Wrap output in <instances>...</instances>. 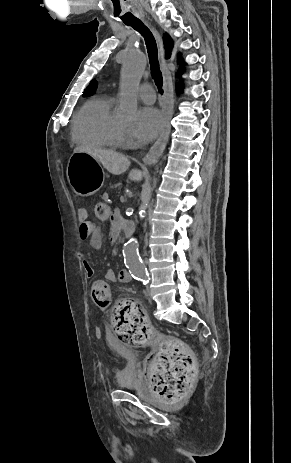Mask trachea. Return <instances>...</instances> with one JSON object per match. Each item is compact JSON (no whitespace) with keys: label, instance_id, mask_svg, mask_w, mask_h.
<instances>
[{"label":"trachea","instance_id":"1","mask_svg":"<svg viewBox=\"0 0 291 463\" xmlns=\"http://www.w3.org/2000/svg\"><path fill=\"white\" fill-rule=\"evenodd\" d=\"M126 25L131 26L144 37L149 56L152 77L155 81V84L157 85L159 92L163 93V77L159 68L157 44L153 34L141 21L128 22Z\"/></svg>","mask_w":291,"mask_h":463}]
</instances>
